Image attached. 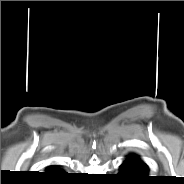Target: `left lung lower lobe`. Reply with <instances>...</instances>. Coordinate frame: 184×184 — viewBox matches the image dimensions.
<instances>
[{
	"instance_id": "0a47b994",
	"label": "left lung lower lobe",
	"mask_w": 184,
	"mask_h": 184,
	"mask_svg": "<svg viewBox=\"0 0 184 184\" xmlns=\"http://www.w3.org/2000/svg\"><path fill=\"white\" fill-rule=\"evenodd\" d=\"M126 183L143 184L149 180L147 165L136 155H130L120 166L118 175Z\"/></svg>"
}]
</instances>
